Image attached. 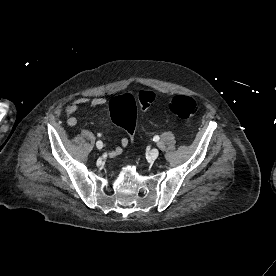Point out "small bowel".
Here are the masks:
<instances>
[{"label": "small bowel", "instance_id": "small-bowel-1", "mask_svg": "<svg viewBox=\"0 0 276 276\" xmlns=\"http://www.w3.org/2000/svg\"><path fill=\"white\" fill-rule=\"evenodd\" d=\"M107 103V99L104 97H78L74 99L66 108L67 123L69 126H75L78 123V117L75 113L79 110L82 105H90L92 107L103 106ZM128 140L122 138L119 144L108 152V156L114 158L120 155L125 147L128 145Z\"/></svg>", "mask_w": 276, "mask_h": 276}]
</instances>
